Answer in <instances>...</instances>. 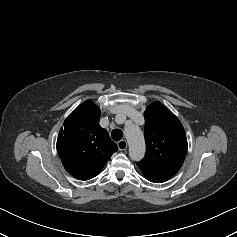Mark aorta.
Here are the masks:
<instances>
[{"label":"aorta","instance_id":"aorta-1","mask_svg":"<svg viewBox=\"0 0 237 237\" xmlns=\"http://www.w3.org/2000/svg\"><path fill=\"white\" fill-rule=\"evenodd\" d=\"M125 137L129 145V156L134 161H140L145 155V140L141 129L134 124L125 127Z\"/></svg>","mask_w":237,"mask_h":237}]
</instances>
